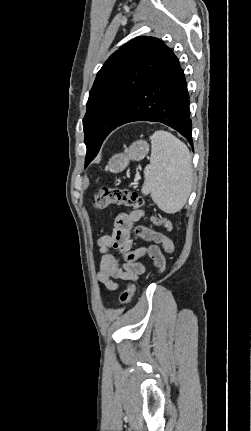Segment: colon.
Returning <instances> with one entry per match:
<instances>
[{
	"label": "colon",
	"instance_id": "obj_1",
	"mask_svg": "<svg viewBox=\"0 0 251 431\" xmlns=\"http://www.w3.org/2000/svg\"><path fill=\"white\" fill-rule=\"evenodd\" d=\"M93 205L95 208H106L110 205L128 206L134 209H141L144 206V199L136 192L125 188L104 186L94 197ZM136 290L135 283H130L120 295V303L128 305Z\"/></svg>",
	"mask_w": 251,
	"mask_h": 431
}]
</instances>
